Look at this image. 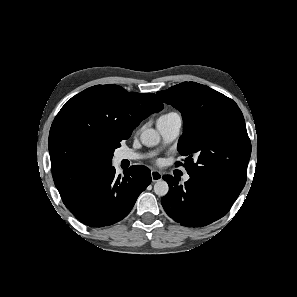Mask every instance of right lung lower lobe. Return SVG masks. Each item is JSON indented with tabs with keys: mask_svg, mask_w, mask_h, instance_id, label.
Segmentation results:
<instances>
[{
	"mask_svg": "<svg viewBox=\"0 0 297 297\" xmlns=\"http://www.w3.org/2000/svg\"><path fill=\"white\" fill-rule=\"evenodd\" d=\"M114 167L86 182L65 206L91 227L112 225L128 215L138 196L151 183L150 170L134 165L117 177Z\"/></svg>",
	"mask_w": 297,
	"mask_h": 297,
	"instance_id": "right-lung-lower-lobe-1",
	"label": "right lung lower lobe"
}]
</instances>
